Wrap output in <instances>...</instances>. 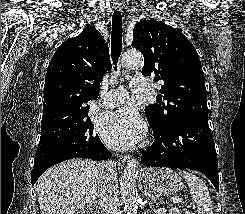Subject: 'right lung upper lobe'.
I'll list each match as a JSON object with an SVG mask.
<instances>
[{"instance_id": "cb5924a9", "label": "right lung upper lobe", "mask_w": 245, "mask_h": 214, "mask_svg": "<svg viewBox=\"0 0 245 214\" xmlns=\"http://www.w3.org/2000/svg\"><path fill=\"white\" fill-rule=\"evenodd\" d=\"M110 69L108 45L94 26L62 43L45 77L41 130L88 113L87 103L98 98L102 75Z\"/></svg>"}]
</instances>
